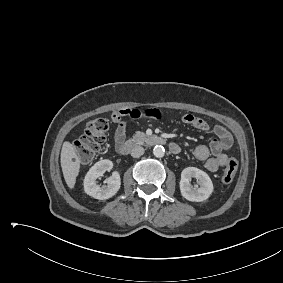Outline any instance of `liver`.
<instances>
[{
    "instance_id": "liver-1",
    "label": "liver",
    "mask_w": 283,
    "mask_h": 283,
    "mask_svg": "<svg viewBox=\"0 0 283 283\" xmlns=\"http://www.w3.org/2000/svg\"><path fill=\"white\" fill-rule=\"evenodd\" d=\"M61 168L67 186L73 189L80 171V159L73 144L65 141L61 150Z\"/></svg>"
}]
</instances>
